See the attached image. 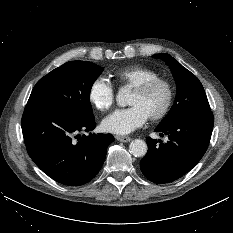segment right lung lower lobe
<instances>
[{
  "label": "right lung lower lobe",
  "mask_w": 233,
  "mask_h": 233,
  "mask_svg": "<svg viewBox=\"0 0 233 233\" xmlns=\"http://www.w3.org/2000/svg\"><path fill=\"white\" fill-rule=\"evenodd\" d=\"M22 132L29 156L53 180L69 186L83 185L101 169L111 134L79 135L92 131L95 119L46 106L26 105Z\"/></svg>",
  "instance_id": "1"
}]
</instances>
